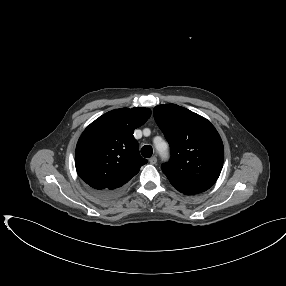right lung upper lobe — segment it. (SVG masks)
I'll return each mask as SVG.
<instances>
[{
    "mask_svg": "<svg viewBox=\"0 0 286 286\" xmlns=\"http://www.w3.org/2000/svg\"><path fill=\"white\" fill-rule=\"evenodd\" d=\"M150 116L149 108H122L105 113L85 129L76 146L75 166L90 188L120 191L147 163L133 132Z\"/></svg>",
    "mask_w": 286,
    "mask_h": 286,
    "instance_id": "obj_1",
    "label": "right lung upper lobe"
}]
</instances>
